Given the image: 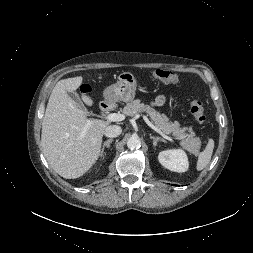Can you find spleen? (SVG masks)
I'll list each match as a JSON object with an SVG mask.
<instances>
[{"label":"spleen","instance_id":"spleen-1","mask_svg":"<svg viewBox=\"0 0 253 253\" xmlns=\"http://www.w3.org/2000/svg\"><path fill=\"white\" fill-rule=\"evenodd\" d=\"M213 149H214V141L213 139H209L205 149L198 156L196 166L198 171L203 170L208 165L212 157Z\"/></svg>","mask_w":253,"mask_h":253}]
</instances>
